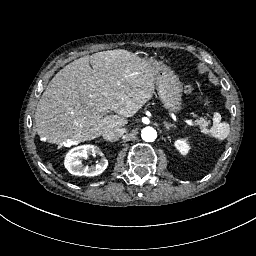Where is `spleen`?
I'll use <instances>...</instances> for the list:
<instances>
[{"mask_svg":"<svg viewBox=\"0 0 256 256\" xmlns=\"http://www.w3.org/2000/svg\"><path fill=\"white\" fill-rule=\"evenodd\" d=\"M218 115L216 114L215 117ZM219 117V116H218ZM212 137L218 139V140H224L228 137L230 133V126L226 122H220V119H214L213 126L208 130L207 132Z\"/></svg>","mask_w":256,"mask_h":256,"instance_id":"3e777b00","label":"spleen"}]
</instances>
